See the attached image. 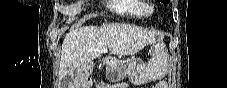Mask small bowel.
Instances as JSON below:
<instances>
[{"label": "small bowel", "instance_id": "obj_1", "mask_svg": "<svg viewBox=\"0 0 227 88\" xmlns=\"http://www.w3.org/2000/svg\"><path fill=\"white\" fill-rule=\"evenodd\" d=\"M97 88H126L127 85L125 83H118V84H115L113 86H110V85H106V84H102V85H99V86H96Z\"/></svg>", "mask_w": 227, "mask_h": 88}]
</instances>
